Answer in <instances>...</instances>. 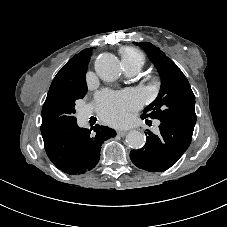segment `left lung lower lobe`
Listing matches in <instances>:
<instances>
[{
	"instance_id": "left-lung-lower-lobe-1",
	"label": "left lung lower lobe",
	"mask_w": 227,
	"mask_h": 227,
	"mask_svg": "<svg viewBox=\"0 0 227 227\" xmlns=\"http://www.w3.org/2000/svg\"><path fill=\"white\" fill-rule=\"evenodd\" d=\"M160 122V134L148 131L145 146L130 152L132 162L140 169L151 172L167 170L191 143L195 124L175 118L160 119Z\"/></svg>"
}]
</instances>
